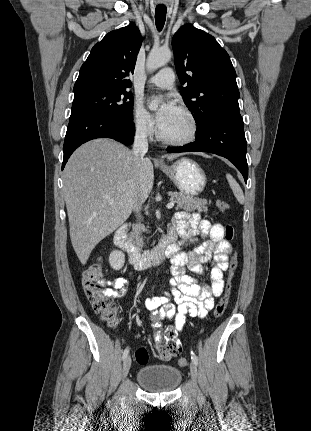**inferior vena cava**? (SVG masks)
I'll use <instances>...</instances> for the list:
<instances>
[{
  "mask_svg": "<svg viewBox=\"0 0 311 431\" xmlns=\"http://www.w3.org/2000/svg\"><path fill=\"white\" fill-rule=\"evenodd\" d=\"M148 126L146 122H141L137 124L134 144H133V154L137 158V162H142L144 160L145 154L148 152ZM140 206L142 204H137L133 212L136 214L137 219H140Z\"/></svg>",
  "mask_w": 311,
  "mask_h": 431,
  "instance_id": "602c4592",
  "label": "inferior vena cava"
}]
</instances>
